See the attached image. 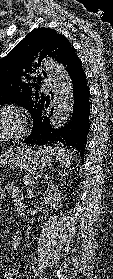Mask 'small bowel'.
<instances>
[{"mask_svg": "<svg viewBox=\"0 0 113 279\" xmlns=\"http://www.w3.org/2000/svg\"><path fill=\"white\" fill-rule=\"evenodd\" d=\"M7 189L12 194L15 204L16 205L19 204V201H20V191H19V189L12 184H8ZM3 193H4V189L0 188V196L1 197H2ZM3 279H16L15 273L14 272H7L4 275Z\"/></svg>", "mask_w": 113, "mask_h": 279, "instance_id": "small-bowel-1", "label": "small bowel"}]
</instances>
